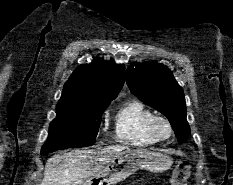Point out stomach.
Segmentation results:
<instances>
[{
  "mask_svg": "<svg viewBox=\"0 0 233 185\" xmlns=\"http://www.w3.org/2000/svg\"><path fill=\"white\" fill-rule=\"evenodd\" d=\"M172 163L171 156L161 152L127 149L80 185H115L134 174L138 169L160 173L170 169Z\"/></svg>",
  "mask_w": 233,
  "mask_h": 185,
  "instance_id": "stomach-1",
  "label": "stomach"
}]
</instances>
